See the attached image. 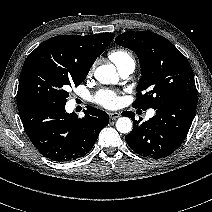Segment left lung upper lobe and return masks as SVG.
I'll use <instances>...</instances> for the list:
<instances>
[{
	"label": "left lung upper lobe",
	"instance_id": "5c2ea615",
	"mask_svg": "<svg viewBox=\"0 0 212 212\" xmlns=\"http://www.w3.org/2000/svg\"><path fill=\"white\" fill-rule=\"evenodd\" d=\"M115 42L133 50L140 61L142 76L134 108L156 109L179 97L197 96L188 60L166 38L149 31H129Z\"/></svg>",
	"mask_w": 212,
	"mask_h": 212
}]
</instances>
